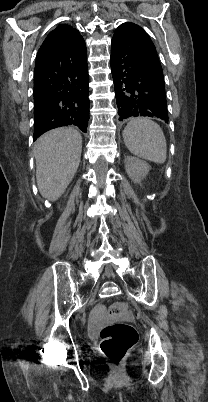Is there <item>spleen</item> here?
<instances>
[{"label": "spleen", "mask_w": 208, "mask_h": 402, "mask_svg": "<svg viewBox=\"0 0 208 402\" xmlns=\"http://www.w3.org/2000/svg\"><path fill=\"white\" fill-rule=\"evenodd\" d=\"M125 146L131 154L164 164L167 158V146L163 130L150 118H134L123 130Z\"/></svg>", "instance_id": "1"}]
</instances>
